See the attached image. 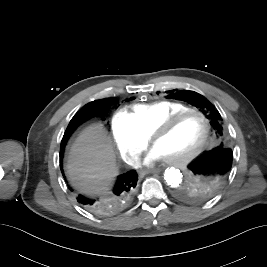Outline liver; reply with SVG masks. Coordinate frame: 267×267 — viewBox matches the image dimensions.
I'll use <instances>...</instances> for the list:
<instances>
[{"mask_svg": "<svg viewBox=\"0 0 267 267\" xmlns=\"http://www.w3.org/2000/svg\"><path fill=\"white\" fill-rule=\"evenodd\" d=\"M70 182L82 193L105 192L117 175L115 155L101 124L84 129L70 149L67 164Z\"/></svg>", "mask_w": 267, "mask_h": 267, "instance_id": "6515ba94", "label": "liver"}]
</instances>
